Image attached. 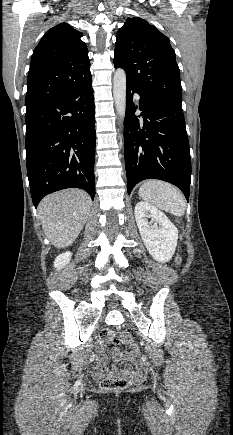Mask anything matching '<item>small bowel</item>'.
<instances>
[{"label": "small bowel", "mask_w": 233, "mask_h": 435, "mask_svg": "<svg viewBox=\"0 0 233 435\" xmlns=\"http://www.w3.org/2000/svg\"><path fill=\"white\" fill-rule=\"evenodd\" d=\"M98 352L104 354L107 352V341L100 340L98 342ZM113 361H128L130 365L126 369L127 373L132 375H139L144 373V367L141 365L139 360V353L135 352H124L121 349H113L110 352ZM92 371L95 377L101 378L108 374L116 372V369L109 367L107 365L106 358H100L92 367Z\"/></svg>", "instance_id": "small-bowel-1"}]
</instances>
